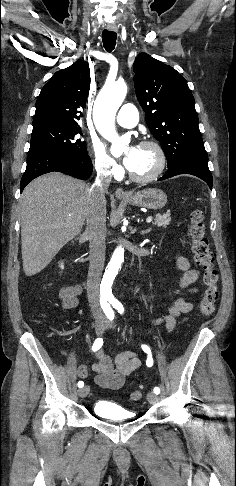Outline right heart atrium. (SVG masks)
<instances>
[{
    "label": "right heart atrium",
    "mask_w": 236,
    "mask_h": 486,
    "mask_svg": "<svg viewBox=\"0 0 236 486\" xmlns=\"http://www.w3.org/2000/svg\"><path fill=\"white\" fill-rule=\"evenodd\" d=\"M90 155L96 171L107 177L117 176L120 172V166L106 152L102 144L93 142L90 146Z\"/></svg>",
    "instance_id": "1"
}]
</instances>
